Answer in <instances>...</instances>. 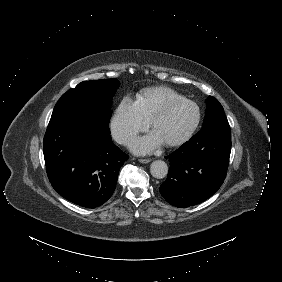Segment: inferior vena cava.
I'll use <instances>...</instances> for the list:
<instances>
[{"label": "inferior vena cava", "mask_w": 282, "mask_h": 282, "mask_svg": "<svg viewBox=\"0 0 282 282\" xmlns=\"http://www.w3.org/2000/svg\"><path fill=\"white\" fill-rule=\"evenodd\" d=\"M112 136L114 141L120 145H128L132 140V136L126 131L113 130Z\"/></svg>", "instance_id": "inferior-vena-cava-1"}]
</instances>
